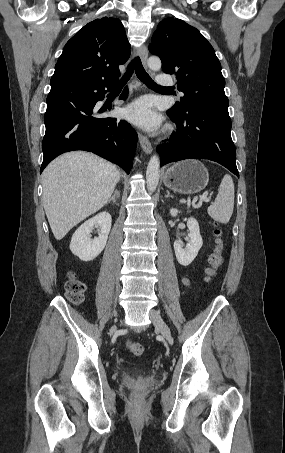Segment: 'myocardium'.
I'll use <instances>...</instances> for the list:
<instances>
[{"label":"myocardium","mask_w":285,"mask_h":453,"mask_svg":"<svg viewBox=\"0 0 285 453\" xmlns=\"http://www.w3.org/2000/svg\"><path fill=\"white\" fill-rule=\"evenodd\" d=\"M172 131V127L171 126H167L166 127V133H170Z\"/></svg>","instance_id":"obj_1"}]
</instances>
